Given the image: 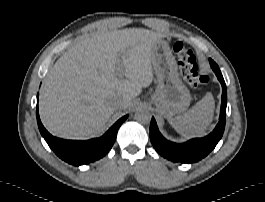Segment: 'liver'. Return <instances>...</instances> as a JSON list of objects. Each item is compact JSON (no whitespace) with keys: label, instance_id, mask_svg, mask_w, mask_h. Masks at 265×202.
<instances>
[{"label":"liver","instance_id":"1","mask_svg":"<svg viewBox=\"0 0 265 202\" xmlns=\"http://www.w3.org/2000/svg\"><path fill=\"white\" fill-rule=\"evenodd\" d=\"M163 34L143 28L98 31L79 38L54 64L40 93V118L54 136L84 140L105 130L110 99L126 109L153 80L152 46ZM122 67L126 79L119 78Z\"/></svg>","mask_w":265,"mask_h":202}]
</instances>
